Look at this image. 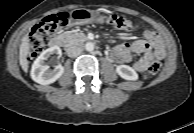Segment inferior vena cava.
I'll return each mask as SVG.
<instances>
[{
    "instance_id": "1",
    "label": "inferior vena cava",
    "mask_w": 194,
    "mask_h": 133,
    "mask_svg": "<svg viewBox=\"0 0 194 133\" xmlns=\"http://www.w3.org/2000/svg\"><path fill=\"white\" fill-rule=\"evenodd\" d=\"M83 51V48L82 47H79V46H71L69 48H67L66 52H67V55L69 57H76L78 55H80Z\"/></svg>"
}]
</instances>
